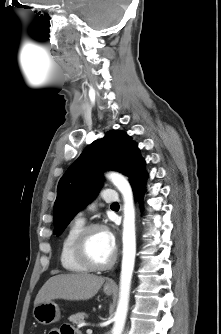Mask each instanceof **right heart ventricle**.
Listing matches in <instances>:
<instances>
[{"label": "right heart ventricle", "mask_w": 221, "mask_h": 334, "mask_svg": "<svg viewBox=\"0 0 221 334\" xmlns=\"http://www.w3.org/2000/svg\"><path fill=\"white\" fill-rule=\"evenodd\" d=\"M84 227V221L75 219L64 234L60 247V263L64 270L70 273H84L88 269L83 266L76 258L74 253V242Z\"/></svg>", "instance_id": "obj_1"}]
</instances>
